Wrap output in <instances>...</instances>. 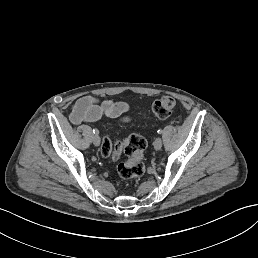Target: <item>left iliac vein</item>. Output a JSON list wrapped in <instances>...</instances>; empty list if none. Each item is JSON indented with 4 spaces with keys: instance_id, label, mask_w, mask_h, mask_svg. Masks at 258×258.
<instances>
[{
    "instance_id": "1",
    "label": "left iliac vein",
    "mask_w": 258,
    "mask_h": 258,
    "mask_svg": "<svg viewBox=\"0 0 258 258\" xmlns=\"http://www.w3.org/2000/svg\"><path fill=\"white\" fill-rule=\"evenodd\" d=\"M162 138L161 137H156L154 141V147L156 151H161L162 150Z\"/></svg>"
}]
</instances>
